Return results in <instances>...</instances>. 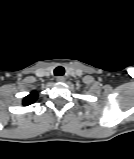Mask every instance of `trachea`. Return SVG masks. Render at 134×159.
I'll return each mask as SVG.
<instances>
[{
    "mask_svg": "<svg viewBox=\"0 0 134 159\" xmlns=\"http://www.w3.org/2000/svg\"><path fill=\"white\" fill-rule=\"evenodd\" d=\"M65 73V69L62 66H58L54 69V75L56 76H62Z\"/></svg>",
    "mask_w": 134,
    "mask_h": 159,
    "instance_id": "obj_1",
    "label": "trachea"
}]
</instances>
